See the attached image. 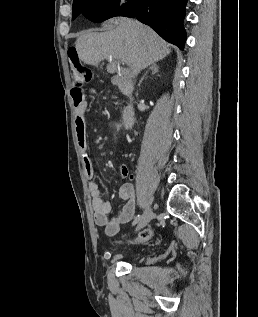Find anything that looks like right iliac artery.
<instances>
[{
	"instance_id": "82829eb1",
	"label": "right iliac artery",
	"mask_w": 258,
	"mask_h": 317,
	"mask_svg": "<svg viewBox=\"0 0 258 317\" xmlns=\"http://www.w3.org/2000/svg\"><path fill=\"white\" fill-rule=\"evenodd\" d=\"M140 218H141V215H140V214H138V215L135 217V219H134V221H133L132 225L137 224V223H138V221L140 220Z\"/></svg>"
}]
</instances>
